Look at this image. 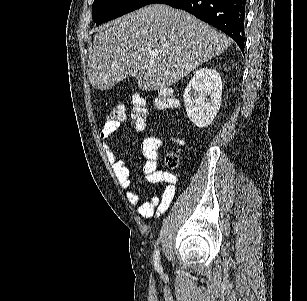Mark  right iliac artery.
I'll list each match as a JSON object with an SVG mask.
<instances>
[{
    "label": "right iliac artery",
    "instance_id": "obj_1",
    "mask_svg": "<svg viewBox=\"0 0 307 301\" xmlns=\"http://www.w3.org/2000/svg\"><path fill=\"white\" fill-rule=\"evenodd\" d=\"M154 266L157 270H160L161 266H160V258H159V250L155 251V255H154Z\"/></svg>",
    "mask_w": 307,
    "mask_h": 301
}]
</instances>
